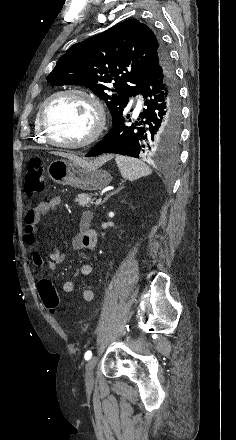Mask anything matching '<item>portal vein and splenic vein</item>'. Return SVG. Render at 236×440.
Returning <instances> with one entry per match:
<instances>
[{"instance_id": "18ae733b", "label": "portal vein and splenic vein", "mask_w": 236, "mask_h": 440, "mask_svg": "<svg viewBox=\"0 0 236 440\" xmlns=\"http://www.w3.org/2000/svg\"><path fill=\"white\" fill-rule=\"evenodd\" d=\"M101 200H102V199L99 198V199L96 201V205H97V204H100Z\"/></svg>"}]
</instances>
